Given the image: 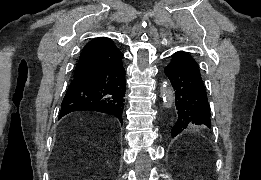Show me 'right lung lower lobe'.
I'll use <instances>...</instances> for the list:
<instances>
[{"label": "right lung lower lobe", "mask_w": 261, "mask_h": 180, "mask_svg": "<svg viewBox=\"0 0 261 180\" xmlns=\"http://www.w3.org/2000/svg\"><path fill=\"white\" fill-rule=\"evenodd\" d=\"M125 69L118 64L93 68L72 80L61 104L60 117L79 111H98L116 116L123 123Z\"/></svg>", "instance_id": "right-lung-lower-lobe-1"}]
</instances>
